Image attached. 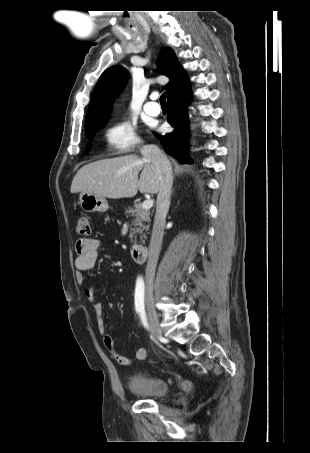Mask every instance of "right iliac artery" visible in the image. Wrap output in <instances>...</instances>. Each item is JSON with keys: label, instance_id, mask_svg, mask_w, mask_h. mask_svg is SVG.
<instances>
[{"label": "right iliac artery", "instance_id": "right-iliac-artery-1", "mask_svg": "<svg viewBox=\"0 0 310 453\" xmlns=\"http://www.w3.org/2000/svg\"><path fill=\"white\" fill-rule=\"evenodd\" d=\"M135 310L139 314L144 313V281L138 278L135 287Z\"/></svg>", "mask_w": 310, "mask_h": 453}]
</instances>
